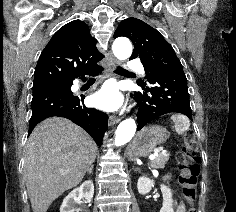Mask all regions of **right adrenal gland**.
<instances>
[{"label": "right adrenal gland", "instance_id": "obj_1", "mask_svg": "<svg viewBox=\"0 0 236 212\" xmlns=\"http://www.w3.org/2000/svg\"><path fill=\"white\" fill-rule=\"evenodd\" d=\"M94 164H91V166L89 167V169L86 171L87 174H92V170H93Z\"/></svg>", "mask_w": 236, "mask_h": 212}]
</instances>
